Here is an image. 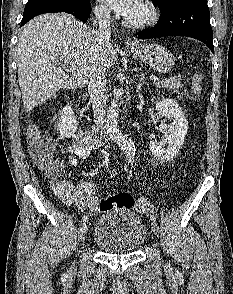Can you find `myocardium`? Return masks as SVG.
Listing matches in <instances>:
<instances>
[{"label": "myocardium", "instance_id": "myocardium-1", "mask_svg": "<svg viewBox=\"0 0 233 294\" xmlns=\"http://www.w3.org/2000/svg\"><path fill=\"white\" fill-rule=\"evenodd\" d=\"M145 8V16L137 21H128V25L135 29H143L153 25L158 19V10L151 0L143 2Z\"/></svg>", "mask_w": 233, "mask_h": 294}]
</instances>
